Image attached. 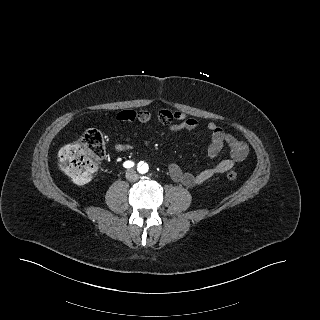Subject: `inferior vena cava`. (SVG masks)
<instances>
[{
    "mask_svg": "<svg viewBox=\"0 0 320 320\" xmlns=\"http://www.w3.org/2000/svg\"><path fill=\"white\" fill-rule=\"evenodd\" d=\"M139 176L134 170H128L126 172V179L129 181H136L138 180Z\"/></svg>",
    "mask_w": 320,
    "mask_h": 320,
    "instance_id": "1",
    "label": "inferior vena cava"
}]
</instances>
